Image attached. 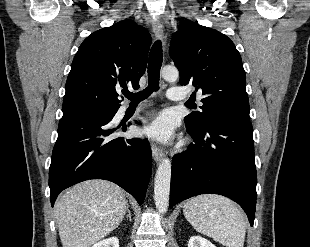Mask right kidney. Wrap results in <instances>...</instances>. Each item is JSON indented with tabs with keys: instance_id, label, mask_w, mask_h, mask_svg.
<instances>
[{
	"instance_id": "1",
	"label": "right kidney",
	"mask_w": 310,
	"mask_h": 247,
	"mask_svg": "<svg viewBox=\"0 0 310 247\" xmlns=\"http://www.w3.org/2000/svg\"><path fill=\"white\" fill-rule=\"evenodd\" d=\"M92 247H119V240L116 237L107 238L94 244Z\"/></svg>"
}]
</instances>
